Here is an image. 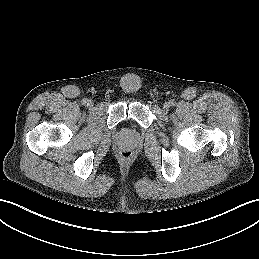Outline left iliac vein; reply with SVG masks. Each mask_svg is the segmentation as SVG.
Returning a JSON list of instances; mask_svg holds the SVG:
<instances>
[{"instance_id":"1","label":"left iliac vein","mask_w":259,"mask_h":259,"mask_svg":"<svg viewBox=\"0 0 259 259\" xmlns=\"http://www.w3.org/2000/svg\"><path fill=\"white\" fill-rule=\"evenodd\" d=\"M169 108H170V104L169 103L166 102V103L163 104V110L165 112L169 111Z\"/></svg>"}]
</instances>
